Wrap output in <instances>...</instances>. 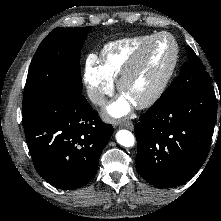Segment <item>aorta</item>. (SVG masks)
<instances>
[{"label":"aorta","mask_w":221,"mask_h":221,"mask_svg":"<svg viewBox=\"0 0 221 221\" xmlns=\"http://www.w3.org/2000/svg\"><path fill=\"white\" fill-rule=\"evenodd\" d=\"M116 140L124 147H133L135 144L134 135L128 130H119L116 133Z\"/></svg>","instance_id":"obj_1"}]
</instances>
